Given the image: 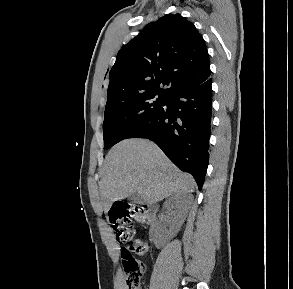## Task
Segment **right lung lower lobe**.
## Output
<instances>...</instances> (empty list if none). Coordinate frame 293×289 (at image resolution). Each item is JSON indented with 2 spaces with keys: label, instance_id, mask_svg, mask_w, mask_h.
Returning a JSON list of instances; mask_svg holds the SVG:
<instances>
[{
  "label": "right lung lower lobe",
  "instance_id": "obj_1",
  "mask_svg": "<svg viewBox=\"0 0 293 289\" xmlns=\"http://www.w3.org/2000/svg\"><path fill=\"white\" fill-rule=\"evenodd\" d=\"M211 84L209 78L175 91L128 137L154 141L178 168L194 177L199 189L209 161Z\"/></svg>",
  "mask_w": 293,
  "mask_h": 289
}]
</instances>
